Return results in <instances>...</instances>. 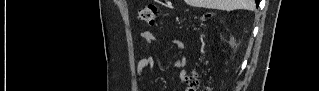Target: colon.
<instances>
[{"label": "colon", "mask_w": 319, "mask_h": 91, "mask_svg": "<svg viewBox=\"0 0 319 91\" xmlns=\"http://www.w3.org/2000/svg\"><path fill=\"white\" fill-rule=\"evenodd\" d=\"M157 12V6L154 3H148L138 10V19L151 26H154L156 24ZM187 85L190 91L207 89L201 85V82L197 76H190L187 79Z\"/></svg>", "instance_id": "5ec220e1"}]
</instances>
